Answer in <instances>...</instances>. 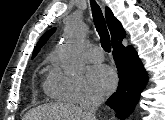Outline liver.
I'll return each instance as SVG.
<instances>
[{"label":"liver","instance_id":"liver-1","mask_svg":"<svg viewBox=\"0 0 165 120\" xmlns=\"http://www.w3.org/2000/svg\"><path fill=\"white\" fill-rule=\"evenodd\" d=\"M47 118H53V120H82V110L69 103L46 105L31 110L23 120H46Z\"/></svg>","mask_w":165,"mask_h":120}]
</instances>
